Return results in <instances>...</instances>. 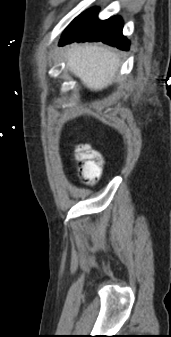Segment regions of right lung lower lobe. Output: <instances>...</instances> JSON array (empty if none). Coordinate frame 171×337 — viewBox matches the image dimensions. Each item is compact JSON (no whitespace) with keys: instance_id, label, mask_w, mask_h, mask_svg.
Here are the masks:
<instances>
[{"instance_id":"obj_1","label":"right lung lower lobe","mask_w":171,"mask_h":337,"mask_svg":"<svg viewBox=\"0 0 171 337\" xmlns=\"http://www.w3.org/2000/svg\"><path fill=\"white\" fill-rule=\"evenodd\" d=\"M97 15L98 8H93L78 16L63 33L59 45L75 41H102L119 49L128 50L129 41L122 35V19L112 17L101 21Z\"/></svg>"}]
</instances>
